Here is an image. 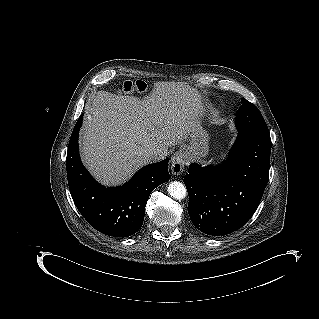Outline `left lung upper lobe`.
<instances>
[{
	"label": "left lung upper lobe",
	"instance_id": "left-lung-upper-lobe-1",
	"mask_svg": "<svg viewBox=\"0 0 319 319\" xmlns=\"http://www.w3.org/2000/svg\"><path fill=\"white\" fill-rule=\"evenodd\" d=\"M236 127L239 132L269 134L260 111L246 99H242V105L236 112Z\"/></svg>",
	"mask_w": 319,
	"mask_h": 319
}]
</instances>
